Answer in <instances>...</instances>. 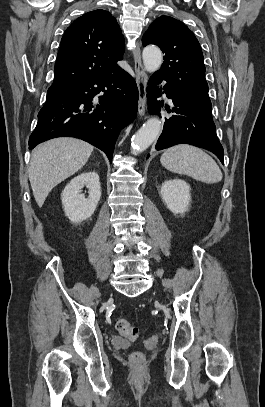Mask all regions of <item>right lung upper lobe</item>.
<instances>
[{
    "label": "right lung upper lobe",
    "instance_id": "1",
    "mask_svg": "<svg viewBox=\"0 0 265 407\" xmlns=\"http://www.w3.org/2000/svg\"><path fill=\"white\" fill-rule=\"evenodd\" d=\"M124 37L116 19L105 10L77 18L65 31L51 86H75L95 75L118 69Z\"/></svg>",
    "mask_w": 265,
    "mask_h": 407
}]
</instances>
